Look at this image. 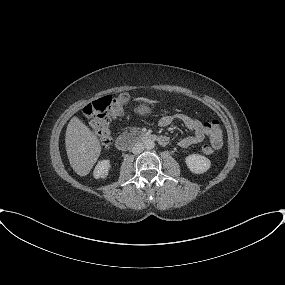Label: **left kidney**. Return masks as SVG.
Instances as JSON below:
<instances>
[{
    "mask_svg": "<svg viewBox=\"0 0 285 285\" xmlns=\"http://www.w3.org/2000/svg\"><path fill=\"white\" fill-rule=\"evenodd\" d=\"M187 167L192 173L202 174L209 170L211 162L208 158L199 154H191L185 158Z\"/></svg>",
    "mask_w": 285,
    "mask_h": 285,
    "instance_id": "obj_1",
    "label": "left kidney"
}]
</instances>
